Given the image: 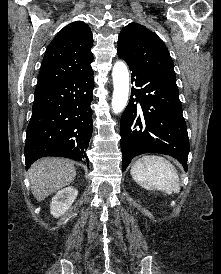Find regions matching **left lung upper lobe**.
Listing matches in <instances>:
<instances>
[{
    "mask_svg": "<svg viewBox=\"0 0 221 274\" xmlns=\"http://www.w3.org/2000/svg\"><path fill=\"white\" fill-rule=\"evenodd\" d=\"M118 53L140 66L176 81L173 61L161 39L138 23L124 27L118 37Z\"/></svg>",
    "mask_w": 221,
    "mask_h": 274,
    "instance_id": "obj_1",
    "label": "left lung upper lobe"
}]
</instances>
